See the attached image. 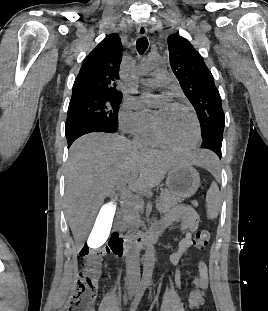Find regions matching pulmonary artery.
Wrapping results in <instances>:
<instances>
[{
    "label": "pulmonary artery",
    "instance_id": "obj_1",
    "mask_svg": "<svg viewBox=\"0 0 268 311\" xmlns=\"http://www.w3.org/2000/svg\"><path fill=\"white\" fill-rule=\"evenodd\" d=\"M171 80V75L167 71L157 70L152 73V77L143 79L141 84L145 87H160L163 86Z\"/></svg>",
    "mask_w": 268,
    "mask_h": 311
}]
</instances>
